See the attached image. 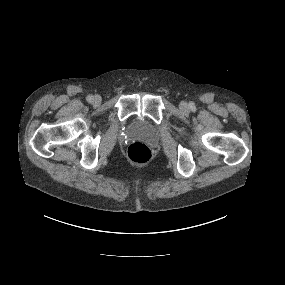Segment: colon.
<instances>
[{"label":"colon","instance_id":"obj_1","mask_svg":"<svg viewBox=\"0 0 285 285\" xmlns=\"http://www.w3.org/2000/svg\"><path fill=\"white\" fill-rule=\"evenodd\" d=\"M150 157V148L142 142H133L128 148V158L134 164H144Z\"/></svg>","mask_w":285,"mask_h":285}]
</instances>
